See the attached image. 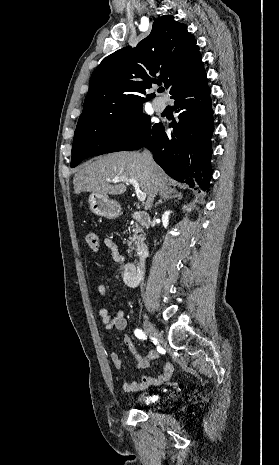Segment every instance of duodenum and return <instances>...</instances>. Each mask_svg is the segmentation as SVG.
Returning <instances> with one entry per match:
<instances>
[{
  "label": "duodenum",
  "mask_w": 279,
  "mask_h": 465,
  "mask_svg": "<svg viewBox=\"0 0 279 465\" xmlns=\"http://www.w3.org/2000/svg\"><path fill=\"white\" fill-rule=\"evenodd\" d=\"M131 217L143 226H148L150 224V217L147 213L143 211H135L131 214ZM148 254V245H142L138 250L139 262L137 266H133L132 268L128 269L125 273V283L128 286L135 287L139 285V283L141 282L144 273V261Z\"/></svg>",
  "instance_id": "obj_1"
}]
</instances>
